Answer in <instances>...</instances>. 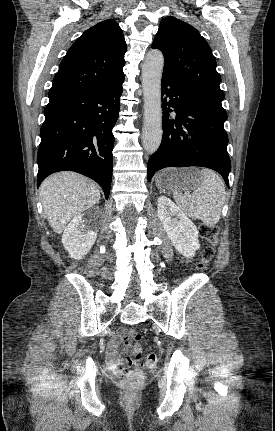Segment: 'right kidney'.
Returning <instances> with one entry per match:
<instances>
[{
    "instance_id": "right-kidney-1",
    "label": "right kidney",
    "mask_w": 275,
    "mask_h": 431,
    "mask_svg": "<svg viewBox=\"0 0 275 431\" xmlns=\"http://www.w3.org/2000/svg\"><path fill=\"white\" fill-rule=\"evenodd\" d=\"M82 214L76 215L65 228L62 243L70 257L82 259L91 249L97 238V232L85 230Z\"/></svg>"
}]
</instances>
